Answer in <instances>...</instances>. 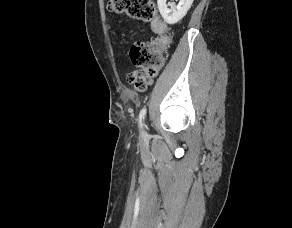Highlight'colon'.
I'll use <instances>...</instances> for the list:
<instances>
[{
  "mask_svg": "<svg viewBox=\"0 0 292 228\" xmlns=\"http://www.w3.org/2000/svg\"><path fill=\"white\" fill-rule=\"evenodd\" d=\"M108 10L131 19L152 21L154 31L161 34L158 39L135 42L130 49V58L137 71L129 75L128 81L137 91L143 92L164 64L165 49L170 42L165 26L160 20H155L156 9L152 0H109Z\"/></svg>",
  "mask_w": 292,
  "mask_h": 228,
  "instance_id": "5ec220e1",
  "label": "colon"
}]
</instances>
